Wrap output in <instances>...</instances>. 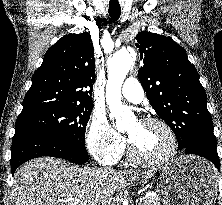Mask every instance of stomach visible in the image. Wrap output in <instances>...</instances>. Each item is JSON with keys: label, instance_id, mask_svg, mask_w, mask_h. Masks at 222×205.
Wrapping results in <instances>:
<instances>
[{"label": "stomach", "instance_id": "obj_1", "mask_svg": "<svg viewBox=\"0 0 222 205\" xmlns=\"http://www.w3.org/2000/svg\"><path fill=\"white\" fill-rule=\"evenodd\" d=\"M156 180V189L164 205H211L215 199V169L195 156L172 160L159 169Z\"/></svg>", "mask_w": 222, "mask_h": 205}]
</instances>
